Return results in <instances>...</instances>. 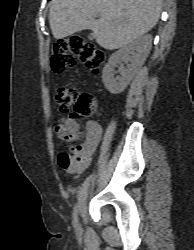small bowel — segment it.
I'll return each instance as SVG.
<instances>
[{
  "mask_svg": "<svg viewBox=\"0 0 194 250\" xmlns=\"http://www.w3.org/2000/svg\"><path fill=\"white\" fill-rule=\"evenodd\" d=\"M58 138L63 142H71L79 139V124L71 118H62L55 128ZM102 136V128L99 123L90 121L86 126L84 143L79 147L68 168L61 169L68 175L81 174L91 162V157L96 150Z\"/></svg>",
  "mask_w": 194,
  "mask_h": 250,
  "instance_id": "obj_1",
  "label": "small bowel"
}]
</instances>
